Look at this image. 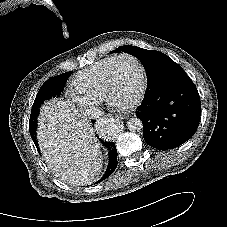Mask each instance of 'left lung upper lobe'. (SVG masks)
I'll list each match as a JSON object with an SVG mask.
<instances>
[{"label":"left lung upper lobe","instance_id":"5c2ea615","mask_svg":"<svg viewBox=\"0 0 227 227\" xmlns=\"http://www.w3.org/2000/svg\"><path fill=\"white\" fill-rule=\"evenodd\" d=\"M121 52L131 54L141 61L146 70L148 91L156 88L170 79L186 74L181 66L161 52L125 45L118 47L111 53Z\"/></svg>","mask_w":227,"mask_h":227}]
</instances>
